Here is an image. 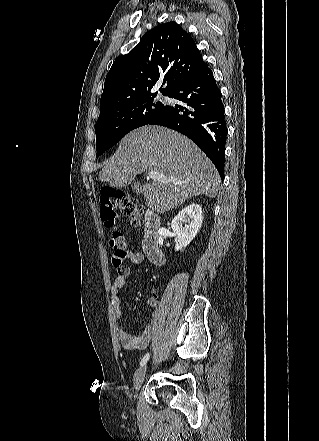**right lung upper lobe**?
I'll use <instances>...</instances> for the list:
<instances>
[{
    "label": "right lung upper lobe",
    "instance_id": "obj_1",
    "mask_svg": "<svg viewBox=\"0 0 319 441\" xmlns=\"http://www.w3.org/2000/svg\"><path fill=\"white\" fill-rule=\"evenodd\" d=\"M205 62L193 38L176 22L160 24L145 33L128 54L118 57L108 72L100 111L150 95L163 78L159 91L168 95L185 77Z\"/></svg>",
    "mask_w": 319,
    "mask_h": 441
}]
</instances>
